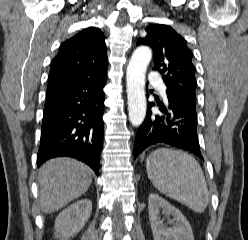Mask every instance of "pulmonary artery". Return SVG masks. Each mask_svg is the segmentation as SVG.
<instances>
[{"mask_svg": "<svg viewBox=\"0 0 248 240\" xmlns=\"http://www.w3.org/2000/svg\"><path fill=\"white\" fill-rule=\"evenodd\" d=\"M159 80V75L158 74H156V73H152V74H150V76H149V81L151 82V83H155V82H157ZM165 90H166V87L165 86H161L160 87V91L164 94L165 93Z\"/></svg>", "mask_w": 248, "mask_h": 240, "instance_id": "obj_1", "label": "pulmonary artery"}]
</instances>
